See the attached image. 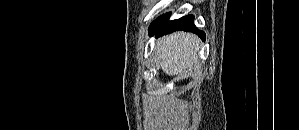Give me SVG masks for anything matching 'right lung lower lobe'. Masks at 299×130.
Masks as SVG:
<instances>
[{
	"mask_svg": "<svg viewBox=\"0 0 299 130\" xmlns=\"http://www.w3.org/2000/svg\"><path fill=\"white\" fill-rule=\"evenodd\" d=\"M170 13L158 17L149 27V35L157 34L161 36L174 31H191L199 35L202 40H205V33L198 30L194 25V16L188 15L178 20L169 21Z\"/></svg>",
	"mask_w": 299,
	"mask_h": 130,
	"instance_id": "98d812e1",
	"label": "right lung lower lobe"
}]
</instances>
